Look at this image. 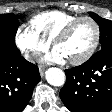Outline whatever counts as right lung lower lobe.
<instances>
[{
	"label": "right lung lower lobe",
	"mask_w": 112,
	"mask_h": 112,
	"mask_svg": "<svg viewBox=\"0 0 112 112\" xmlns=\"http://www.w3.org/2000/svg\"><path fill=\"white\" fill-rule=\"evenodd\" d=\"M39 81L38 67L20 53L0 52V112H22Z\"/></svg>",
	"instance_id": "right-lung-lower-lobe-1"
}]
</instances>
